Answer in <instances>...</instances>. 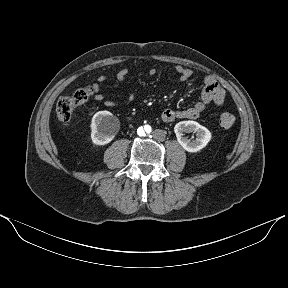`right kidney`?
I'll return each instance as SVG.
<instances>
[{
	"label": "right kidney",
	"instance_id": "obj_1",
	"mask_svg": "<svg viewBox=\"0 0 288 288\" xmlns=\"http://www.w3.org/2000/svg\"><path fill=\"white\" fill-rule=\"evenodd\" d=\"M116 131V119L108 111L94 114L91 123V138L96 145H106L112 141Z\"/></svg>",
	"mask_w": 288,
	"mask_h": 288
}]
</instances>
